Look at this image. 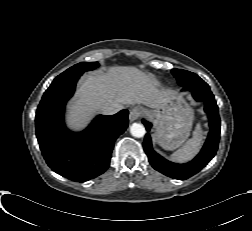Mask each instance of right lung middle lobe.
Wrapping results in <instances>:
<instances>
[{"label": "right lung middle lobe", "mask_w": 252, "mask_h": 231, "mask_svg": "<svg viewBox=\"0 0 252 231\" xmlns=\"http://www.w3.org/2000/svg\"><path fill=\"white\" fill-rule=\"evenodd\" d=\"M98 62H81L78 63L69 69H67L65 72L57 76L51 85H56L58 83L68 81L73 78L80 77L85 71L93 70L96 67H98ZM50 85V86H51Z\"/></svg>", "instance_id": "dd1d6c3e"}]
</instances>
